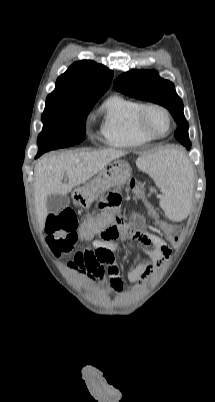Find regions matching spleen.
Returning <instances> with one entry per match:
<instances>
[{"instance_id":"obj_1","label":"spleen","mask_w":215,"mask_h":402,"mask_svg":"<svg viewBox=\"0 0 215 402\" xmlns=\"http://www.w3.org/2000/svg\"><path fill=\"white\" fill-rule=\"evenodd\" d=\"M138 165L146 171L158 186L166 189L157 207L165 210L172 220H183L192 213L189 197L195 195L190 178L198 177V170L191 169L189 160L180 149H165L138 159Z\"/></svg>"}]
</instances>
